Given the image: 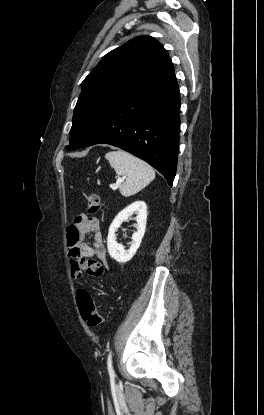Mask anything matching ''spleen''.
Listing matches in <instances>:
<instances>
[{"label":"spleen","mask_w":264,"mask_h":415,"mask_svg":"<svg viewBox=\"0 0 264 415\" xmlns=\"http://www.w3.org/2000/svg\"><path fill=\"white\" fill-rule=\"evenodd\" d=\"M105 158L117 176L126 178L119 188L125 197L138 193L155 178V171L150 165L125 151H110Z\"/></svg>","instance_id":"obj_1"}]
</instances>
